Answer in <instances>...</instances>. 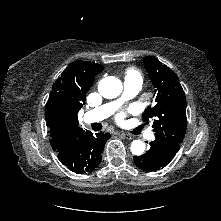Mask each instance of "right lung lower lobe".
Segmentation results:
<instances>
[{"label":"right lung lower lobe","instance_id":"obj_1","mask_svg":"<svg viewBox=\"0 0 221 221\" xmlns=\"http://www.w3.org/2000/svg\"><path fill=\"white\" fill-rule=\"evenodd\" d=\"M110 133L86 131L73 149L58 153L62 164L77 174L93 171L102 160V152Z\"/></svg>","mask_w":221,"mask_h":221}]
</instances>
